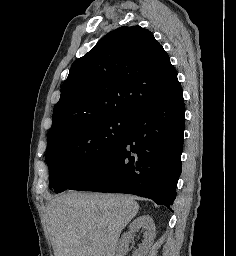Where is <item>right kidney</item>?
I'll use <instances>...</instances> for the list:
<instances>
[{
	"label": "right kidney",
	"mask_w": 236,
	"mask_h": 256,
	"mask_svg": "<svg viewBox=\"0 0 236 256\" xmlns=\"http://www.w3.org/2000/svg\"><path fill=\"white\" fill-rule=\"evenodd\" d=\"M139 228H143V230H145L143 236L144 240L132 256H147L156 236L155 224L150 216H140V218L133 220L132 224L129 226V232H127V234H123L119 242L117 250L118 256H126L129 240H131L132 234L137 232Z\"/></svg>",
	"instance_id": "ca27d5eb"
}]
</instances>
